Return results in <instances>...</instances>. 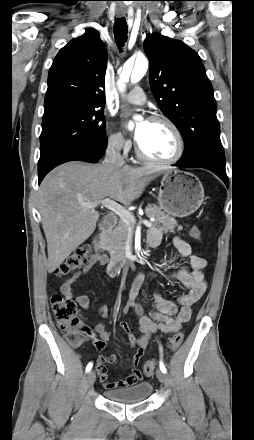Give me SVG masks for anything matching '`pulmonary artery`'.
Masks as SVG:
<instances>
[{"instance_id":"pulmonary-artery-1","label":"pulmonary artery","mask_w":254,"mask_h":440,"mask_svg":"<svg viewBox=\"0 0 254 440\" xmlns=\"http://www.w3.org/2000/svg\"><path fill=\"white\" fill-rule=\"evenodd\" d=\"M124 102L142 104L145 101V94L141 87H134L128 94L122 97Z\"/></svg>"}]
</instances>
